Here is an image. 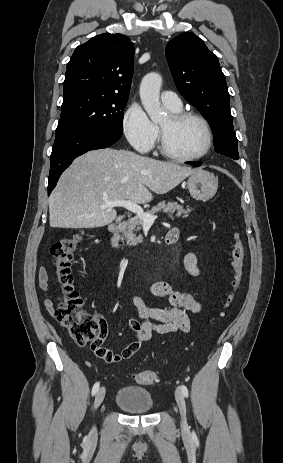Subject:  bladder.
<instances>
[{
	"label": "bladder",
	"instance_id": "31cf9c89",
	"mask_svg": "<svg viewBox=\"0 0 283 463\" xmlns=\"http://www.w3.org/2000/svg\"><path fill=\"white\" fill-rule=\"evenodd\" d=\"M115 404L130 414L149 413L155 408L151 393L137 386L121 387L116 393Z\"/></svg>",
	"mask_w": 283,
	"mask_h": 463
}]
</instances>
